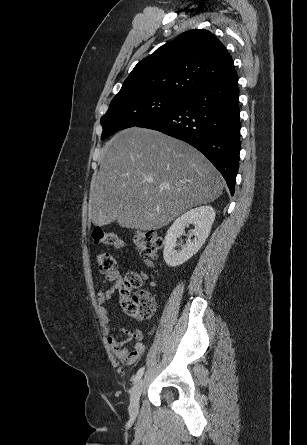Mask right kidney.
I'll return each mask as SVG.
<instances>
[{"instance_id": "1", "label": "right kidney", "mask_w": 307, "mask_h": 445, "mask_svg": "<svg viewBox=\"0 0 307 445\" xmlns=\"http://www.w3.org/2000/svg\"><path fill=\"white\" fill-rule=\"evenodd\" d=\"M214 220L215 210L213 206H198V208H192V210H188V212H184L182 216L176 218L164 239L163 257L166 265L179 267V265L191 259L193 255H196L208 239ZM188 225H194L195 227L192 231L194 239L191 241L190 237H193V235H188L186 245H181L180 251H175L176 241L181 235H184V229Z\"/></svg>"}]
</instances>
